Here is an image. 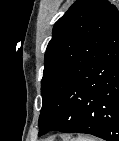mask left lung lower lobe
<instances>
[{
  "label": "left lung lower lobe",
  "instance_id": "left-lung-lower-lobe-1",
  "mask_svg": "<svg viewBox=\"0 0 119 141\" xmlns=\"http://www.w3.org/2000/svg\"><path fill=\"white\" fill-rule=\"evenodd\" d=\"M57 130L119 141V15L95 57L39 118V135Z\"/></svg>",
  "mask_w": 119,
  "mask_h": 141
}]
</instances>
